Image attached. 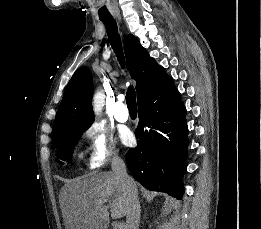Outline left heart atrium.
Masks as SVG:
<instances>
[{
    "label": "left heart atrium",
    "instance_id": "1",
    "mask_svg": "<svg viewBox=\"0 0 261 229\" xmlns=\"http://www.w3.org/2000/svg\"><path fill=\"white\" fill-rule=\"evenodd\" d=\"M134 140V135L130 130H125L123 133V141L126 144H131Z\"/></svg>",
    "mask_w": 261,
    "mask_h": 229
}]
</instances>
